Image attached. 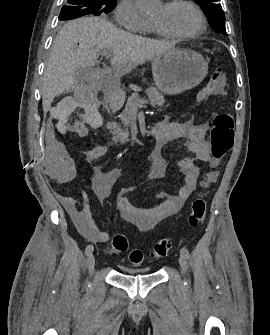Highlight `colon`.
Returning a JSON list of instances; mask_svg holds the SVG:
<instances>
[{
    "label": "colon",
    "mask_w": 270,
    "mask_h": 335,
    "mask_svg": "<svg viewBox=\"0 0 270 335\" xmlns=\"http://www.w3.org/2000/svg\"><path fill=\"white\" fill-rule=\"evenodd\" d=\"M225 72L223 68H215L203 88L200 98L205 99L220 94L225 86ZM85 131H79L78 135L86 136ZM234 141V122L233 117L228 112H218L212 120V128L210 131V151L211 156L215 160H222L226 157L233 146ZM215 181V172H207L204 176L206 185H210ZM205 193L200 190L192 201L187 222L191 226H199L205 217ZM110 246L116 253H125L128 251L129 242L125 234L118 233L113 236ZM172 248V242L164 239L156 243L148 255L142 251L133 249L130 251L128 259L131 264L141 265L146 259H158L166 256Z\"/></svg>",
    "instance_id": "obj_1"
}]
</instances>
